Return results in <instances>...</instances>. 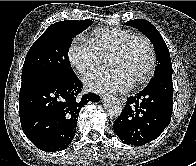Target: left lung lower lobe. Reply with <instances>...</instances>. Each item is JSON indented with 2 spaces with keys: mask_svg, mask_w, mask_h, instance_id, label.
Instances as JSON below:
<instances>
[{
  "mask_svg": "<svg viewBox=\"0 0 196 166\" xmlns=\"http://www.w3.org/2000/svg\"><path fill=\"white\" fill-rule=\"evenodd\" d=\"M172 75L152 79L139 93L127 98L114 131L125 144L144 145L169 125L172 113Z\"/></svg>",
  "mask_w": 196,
  "mask_h": 166,
  "instance_id": "obj_1",
  "label": "left lung lower lobe"
}]
</instances>
